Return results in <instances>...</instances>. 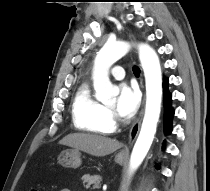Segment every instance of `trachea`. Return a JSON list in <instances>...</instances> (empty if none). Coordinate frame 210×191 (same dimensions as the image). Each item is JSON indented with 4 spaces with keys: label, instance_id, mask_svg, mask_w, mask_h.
I'll use <instances>...</instances> for the list:
<instances>
[{
    "label": "trachea",
    "instance_id": "3493384b",
    "mask_svg": "<svg viewBox=\"0 0 210 191\" xmlns=\"http://www.w3.org/2000/svg\"><path fill=\"white\" fill-rule=\"evenodd\" d=\"M133 73H134L135 75H139V74H140V69H139V67L134 66V67H133Z\"/></svg>",
    "mask_w": 210,
    "mask_h": 191
}]
</instances>
